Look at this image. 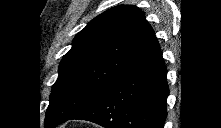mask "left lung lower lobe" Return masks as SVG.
I'll use <instances>...</instances> for the list:
<instances>
[{
	"instance_id": "0a47b994",
	"label": "left lung lower lobe",
	"mask_w": 221,
	"mask_h": 128,
	"mask_svg": "<svg viewBox=\"0 0 221 128\" xmlns=\"http://www.w3.org/2000/svg\"><path fill=\"white\" fill-rule=\"evenodd\" d=\"M166 74L157 43L101 98L71 119L88 120L105 128H163L169 94Z\"/></svg>"
}]
</instances>
